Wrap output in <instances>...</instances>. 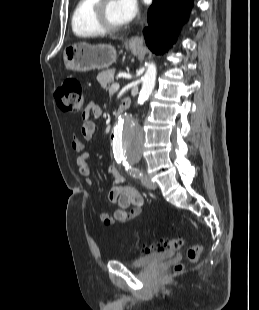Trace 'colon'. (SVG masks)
Listing matches in <instances>:
<instances>
[{
    "mask_svg": "<svg viewBox=\"0 0 259 310\" xmlns=\"http://www.w3.org/2000/svg\"><path fill=\"white\" fill-rule=\"evenodd\" d=\"M56 102L59 108L65 112H81L84 109V96L81 82L76 78H67L55 94ZM185 239L182 237L174 238L168 241H160L155 244L143 245L142 253H149L164 250H177L184 246ZM202 247L193 245L187 250V260L196 262L201 254ZM183 265H177L176 269H182Z\"/></svg>",
    "mask_w": 259,
    "mask_h": 310,
    "instance_id": "obj_1",
    "label": "colon"
}]
</instances>
